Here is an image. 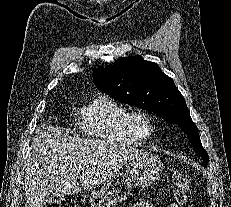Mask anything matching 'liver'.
Wrapping results in <instances>:
<instances>
[{
    "mask_svg": "<svg viewBox=\"0 0 231 207\" xmlns=\"http://www.w3.org/2000/svg\"><path fill=\"white\" fill-rule=\"evenodd\" d=\"M138 153L136 148L72 136L68 130L43 124L35 131L27 159L24 207H42L51 195L93 189Z\"/></svg>",
    "mask_w": 231,
    "mask_h": 207,
    "instance_id": "obj_1",
    "label": "liver"
}]
</instances>
